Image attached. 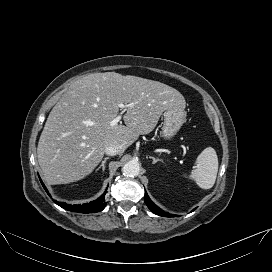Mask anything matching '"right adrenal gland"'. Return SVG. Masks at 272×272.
<instances>
[{
    "label": "right adrenal gland",
    "instance_id": "1",
    "mask_svg": "<svg viewBox=\"0 0 272 272\" xmlns=\"http://www.w3.org/2000/svg\"><path fill=\"white\" fill-rule=\"evenodd\" d=\"M109 159V157H105L104 160L102 161L101 165L96 169L98 171L100 168H102V171L104 172L105 170V163Z\"/></svg>",
    "mask_w": 272,
    "mask_h": 272
}]
</instances>
